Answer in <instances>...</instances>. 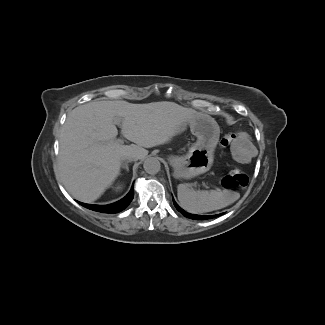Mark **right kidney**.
Listing matches in <instances>:
<instances>
[{
    "label": "right kidney",
    "instance_id": "ca27d5eb",
    "mask_svg": "<svg viewBox=\"0 0 325 325\" xmlns=\"http://www.w3.org/2000/svg\"><path fill=\"white\" fill-rule=\"evenodd\" d=\"M124 185L121 183L116 184L115 186L112 187L113 191L115 192H120L123 189Z\"/></svg>",
    "mask_w": 325,
    "mask_h": 325
}]
</instances>
